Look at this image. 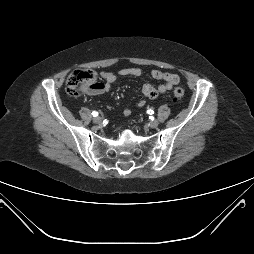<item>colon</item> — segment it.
I'll return each instance as SVG.
<instances>
[{
    "mask_svg": "<svg viewBox=\"0 0 254 254\" xmlns=\"http://www.w3.org/2000/svg\"><path fill=\"white\" fill-rule=\"evenodd\" d=\"M97 75L90 70H76L72 72L66 83V90L70 96L78 97L84 92L99 86ZM174 100L180 101L184 97V90L177 87L173 91Z\"/></svg>",
    "mask_w": 254,
    "mask_h": 254,
    "instance_id": "obj_1",
    "label": "colon"
}]
</instances>
